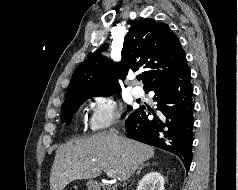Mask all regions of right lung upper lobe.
<instances>
[{
    "mask_svg": "<svg viewBox=\"0 0 238 190\" xmlns=\"http://www.w3.org/2000/svg\"><path fill=\"white\" fill-rule=\"evenodd\" d=\"M121 54V62L113 63L98 51L90 53L75 70L66 98L117 93L121 90L119 80H124L129 71L138 70H143L146 90L172 74L186 60L179 39L169 26L151 18L131 22Z\"/></svg>",
    "mask_w": 238,
    "mask_h": 190,
    "instance_id": "1",
    "label": "right lung upper lobe"
}]
</instances>
